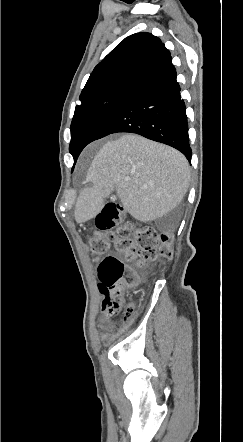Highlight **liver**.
<instances>
[{
    "mask_svg": "<svg viewBox=\"0 0 243 442\" xmlns=\"http://www.w3.org/2000/svg\"><path fill=\"white\" fill-rule=\"evenodd\" d=\"M190 167L176 149L134 134L107 141L94 157L75 205V220L86 222L104 208L114 190L123 207L140 222H151L174 210L186 194Z\"/></svg>",
    "mask_w": 243,
    "mask_h": 442,
    "instance_id": "obj_1",
    "label": "liver"
}]
</instances>
